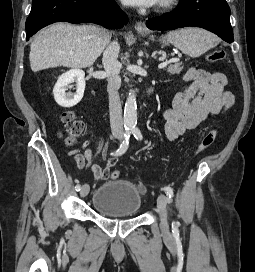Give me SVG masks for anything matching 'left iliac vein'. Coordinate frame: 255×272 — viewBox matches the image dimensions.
I'll return each mask as SVG.
<instances>
[{
    "mask_svg": "<svg viewBox=\"0 0 255 272\" xmlns=\"http://www.w3.org/2000/svg\"><path fill=\"white\" fill-rule=\"evenodd\" d=\"M168 198L164 194H160L157 198V206H158V211L161 216V229L163 233L166 236L170 235L169 232V226H168V221H167V213H166V206H167Z\"/></svg>",
    "mask_w": 255,
    "mask_h": 272,
    "instance_id": "left-iliac-vein-1",
    "label": "left iliac vein"
}]
</instances>
